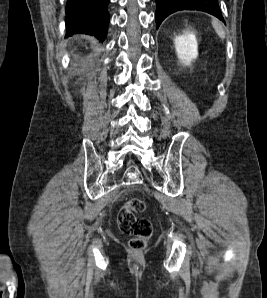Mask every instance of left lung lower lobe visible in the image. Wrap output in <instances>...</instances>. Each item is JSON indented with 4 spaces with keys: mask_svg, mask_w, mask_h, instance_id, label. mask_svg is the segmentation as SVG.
Returning <instances> with one entry per match:
<instances>
[{
    "mask_svg": "<svg viewBox=\"0 0 267 298\" xmlns=\"http://www.w3.org/2000/svg\"><path fill=\"white\" fill-rule=\"evenodd\" d=\"M156 6L157 29L168 15L179 10L204 11L223 21L218 0H156Z\"/></svg>",
    "mask_w": 267,
    "mask_h": 298,
    "instance_id": "0a47b994",
    "label": "left lung lower lobe"
}]
</instances>
